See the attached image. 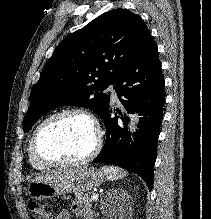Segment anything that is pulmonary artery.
Segmentation results:
<instances>
[{"instance_id":"e3ab8cb5","label":"pulmonary artery","mask_w":211,"mask_h":219,"mask_svg":"<svg viewBox=\"0 0 211 219\" xmlns=\"http://www.w3.org/2000/svg\"><path fill=\"white\" fill-rule=\"evenodd\" d=\"M108 90L111 92L112 100L116 101L117 100V94H116L115 86L113 84H110L108 86Z\"/></svg>"}]
</instances>
